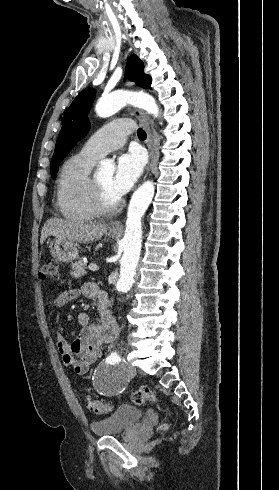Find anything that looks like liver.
I'll list each match as a JSON object with an SVG mask.
<instances>
[{"instance_id": "1", "label": "liver", "mask_w": 279, "mask_h": 490, "mask_svg": "<svg viewBox=\"0 0 279 490\" xmlns=\"http://www.w3.org/2000/svg\"><path fill=\"white\" fill-rule=\"evenodd\" d=\"M107 224H84V222H66L60 218H51L45 222L40 236V244H44L48 236H55L64 242H94L107 232Z\"/></svg>"}]
</instances>
